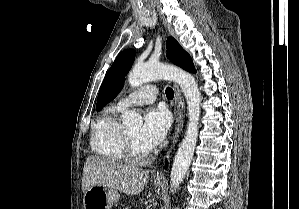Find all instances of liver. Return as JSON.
<instances>
[{
  "label": "liver",
  "mask_w": 299,
  "mask_h": 209,
  "mask_svg": "<svg viewBox=\"0 0 299 209\" xmlns=\"http://www.w3.org/2000/svg\"><path fill=\"white\" fill-rule=\"evenodd\" d=\"M149 171L117 163L98 156L87 158L83 168L82 190L93 185L121 191L125 194H138L148 183Z\"/></svg>",
  "instance_id": "obj_1"
}]
</instances>
